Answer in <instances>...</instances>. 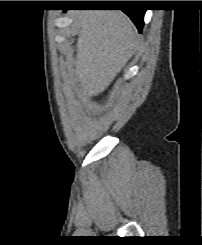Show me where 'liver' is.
I'll return each instance as SVG.
<instances>
[{"instance_id": "1", "label": "liver", "mask_w": 202, "mask_h": 245, "mask_svg": "<svg viewBox=\"0 0 202 245\" xmlns=\"http://www.w3.org/2000/svg\"><path fill=\"white\" fill-rule=\"evenodd\" d=\"M78 27L75 76L81 93H102L132 57L138 32L131 20L114 10L72 14Z\"/></svg>"}]
</instances>
